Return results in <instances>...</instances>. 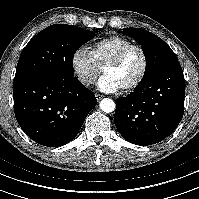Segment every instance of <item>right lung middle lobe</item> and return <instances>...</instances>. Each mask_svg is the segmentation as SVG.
I'll use <instances>...</instances> for the list:
<instances>
[{"label":"right lung middle lobe","mask_w":199,"mask_h":199,"mask_svg":"<svg viewBox=\"0 0 199 199\" xmlns=\"http://www.w3.org/2000/svg\"><path fill=\"white\" fill-rule=\"evenodd\" d=\"M94 36L92 31L73 25L55 24L45 28L22 51L14 81L47 75L74 78L73 56Z\"/></svg>","instance_id":"1"}]
</instances>
